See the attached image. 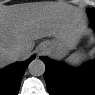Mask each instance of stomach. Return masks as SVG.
<instances>
[{
  "mask_svg": "<svg viewBox=\"0 0 95 95\" xmlns=\"http://www.w3.org/2000/svg\"><path fill=\"white\" fill-rule=\"evenodd\" d=\"M83 29L79 26H71L62 30L53 39L46 41L48 43L47 53L55 59L65 57L69 51L74 49L79 43Z\"/></svg>",
  "mask_w": 95,
  "mask_h": 95,
  "instance_id": "obj_1",
  "label": "stomach"
}]
</instances>
